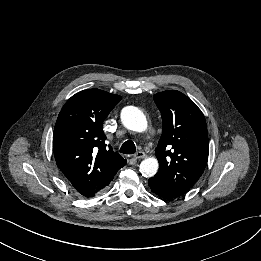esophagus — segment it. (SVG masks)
Listing matches in <instances>:
<instances>
[{"instance_id": "obj_1", "label": "esophagus", "mask_w": 261, "mask_h": 261, "mask_svg": "<svg viewBox=\"0 0 261 261\" xmlns=\"http://www.w3.org/2000/svg\"><path fill=\"white\" fill-rule=\"evenodd\" d=\"M146 155L143 151H139L136 153V155L134 156L135 159H142L144 158Z\"/></svg>"}]
</instances>
